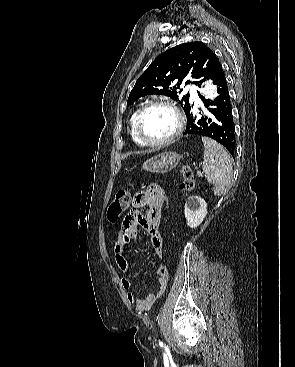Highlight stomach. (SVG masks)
<instances>
[{
    "label": "stomach",
    "instance_id": "obj_1",
    "mask_svg": "<svg viewBox=\"0 0 295 367\" xmlns=\"http://www.w3.org/2000/svg\"><path fill=\"white\" fill-rule=\"evenodd\" d=\"M181 157L175 152H163L144 162L143 169L153 173H166L178 165Z\"/></svg>",
    "mask_w": 295,
    "mask_h": 367
}]
</instances>
